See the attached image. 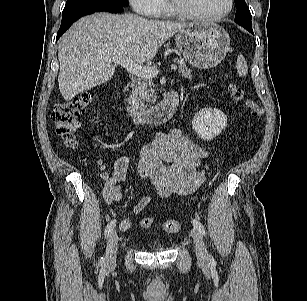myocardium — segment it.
<instances>
[{
    "label": "myocardium",
    "instance_id": "1",
    "mask_svg": "<svg viewBox=\"0 0 307 301\" xmlns=\"http://www.w3.org/2000/svg\"><path fill=\"white\" fill-rule=\"evenodd\" d=\"M234 0H229L228 8L219 14L203 15L189 11L176 0H165L167 11L177 17L194 21H216L228 16L234 8Z\"/></svg>",
    "mask_w": 307,
    "mask_h": 301
}]
</instances>
